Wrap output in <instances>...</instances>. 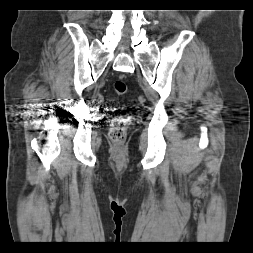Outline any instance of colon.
Masks as SVG:
<instances>
[{
  "mask_svg": "<svg viewBox=\"0 0 253 253\" xmlns=\"http://www.w3.org/2000/svg\"><path fill=\"white\" fill-rule=\"evenodd\" d=\"M114 90L118 95H124L127 93V84L123 80H116L114 82ZM129 125V115L123 113L115 117L112 121L109 136L112 141L120 143L124 141L127 134Z\"/></svg>",
  "mask_w": 253,
  "mask_h": 253,
  "instance_id": "colon-1",
  "label": "colon"
}]
</instances>
